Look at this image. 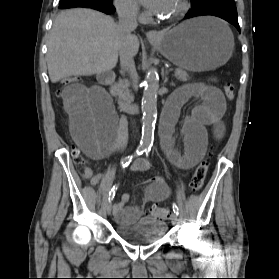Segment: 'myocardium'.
<instances>
[{
    "instance_id": "f54148a6",
    "label": "myocardium",
    "mask_w": 279,
    "mask_h": 279,
    "mask_svg": "<svg viewBox=\"0 0 279 279\" xmlns=\"http://www.w3.org/2000/svg\"><path fill=\"white\" fill-rule=\"evenodd\" d=\"M189 8V2L188 0H180V5L178 9L175 11V13L169 17L162 18L163 21L166 22H172L177 19H179L181 16H183Z\"/></svg>"
}]
</instances>
